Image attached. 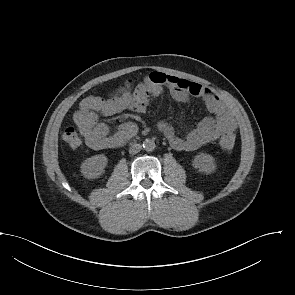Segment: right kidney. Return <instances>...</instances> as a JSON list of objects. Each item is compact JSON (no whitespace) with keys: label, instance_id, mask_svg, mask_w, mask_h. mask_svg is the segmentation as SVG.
I'll use <instances>...</instances> for the list:
<instances>
[{"label":"right kidney","instance_id":"obj_1","mask_svg":"<svg viewBox=\"0 0 295 295\" xmlns=\"http://www.w3.org/2000/svg\"><path fill=\"white\" fill-rule=\"evenodd\" d=\"M107 163V157L103 154L92 156L82 163L81 173L88 179L98 178L104 173Z\"/></svg>","mask_w":295,"mask_h":295}]
</instances>
